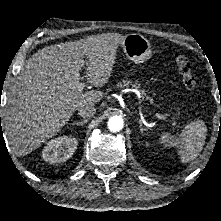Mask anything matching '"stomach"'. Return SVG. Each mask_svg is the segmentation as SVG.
I'll return each instance as SVG.
<instances>
[{"mask_svg":"<svg viewBox=\"0 0 221 221\" xmlns=\"http://www.w3.org/2000/svg\"><path fill=\"white\" fill-rule=\"evenodd\" d=\"M124 54L135 63L147 61L152 54L150 42L141 34H128L120 44Z\"/></svg>","mask_w":221,"mask_h":221,"instance_id":"stomach-1","label":"stomach"}]
</instances>
